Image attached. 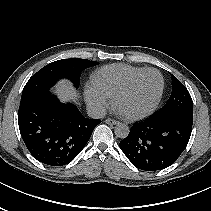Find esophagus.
I'll return each instance as SVG.
<instances>
[{
  "label": "esophagus",
  "mask_w": 211,
  "mask_h": 211,
  "mask_svg": "<svg viewBox=\"0 0 211 211\" xmlns=\"http://www.w3.org/2000/svg\"><path fill=\"white\" fill-rule=\"evenodd\" d=\"M105 122H106L108 125H116V124L119 123L117 120H114V119H111V118H107V119L105 120Z\"/></svg>",
  "instance_id": "34e87169"
}]
</instances>
